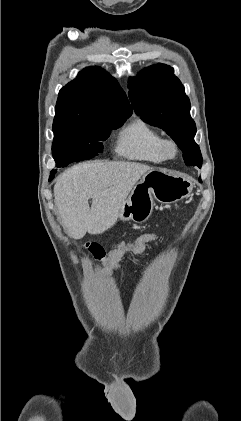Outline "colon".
<instances>
[{"label":"colon","instance_id":"5ec220e1","mask_svg":"<svg viewBox=\"0 0 241 421\" xmlns=\"http://www.w3.org/2000/svg\"><path fill=\"white\" fill-rule=\"evenodd\" d=\"M86 248L89 250V252L96 258V259H102L105 256V250L103 246L99 243L90 242L87 243ZM145 249L144 246L139 245L136 241L135 242H119L116 246L113 252L117 253H126V252H132V253H141Z\"/></svg>","mask_w":241,"mask_h":421}]
</instances>
